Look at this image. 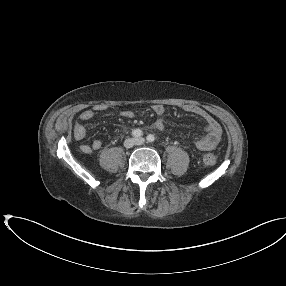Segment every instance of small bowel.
Returning a JSON list of instances; mask_svg holds the SVG:
<instances>
[{"label": "small bowel", "instance_id": "c3829d8e", "mask_svg": "<svg viewBox=\"0 0 286 286\" xmlns=\"http://www.w3.org/2000/svg\"><path fill=\"white\" fill-rule=\"evenodd\" d=\"M105 108L102 105H98L93 109L83 110L78 119L73 122L72 125V135L74 139L80 141L86 137V128L84 123L91 120L96 112L103 111ZM184 111L195 114L201 117L206 122V132L203 136L194 139L195 145L201 150H212L219 143L222 135V129L219 123L203 108L187 104L183 106ZM152 111L157 115L153 126L158 131H165V119L163 114L165 108L162 104H154L152 106ZM121 116L124 118H132L134 116L133 111L123 110L121 111ZM103 143L100 139H95L91 144H81L79 146V151L83 154H90L93 151H97L102 147Z\"/></svg>", "mask_w": 286, "mask_h": 286}]
</instances>
